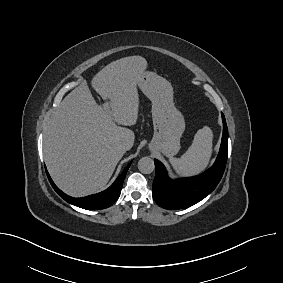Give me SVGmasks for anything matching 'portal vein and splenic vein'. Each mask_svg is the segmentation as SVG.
I'll list each match as a JSON object with an SVG mask.
<instances>
[{"label": "portal vein and splenic vein", "mask_w": 283, "mask_h": 283, "mask_svg": "<svg viewBox=\"0 0 283 283\" xmlns=\"http://www.w3.org/2000/svg\"><path fill=\"white\" fill-rule=\"evenodd\" d=\"M103 108L106 109V110H109V103L103 104Z\"/></svg>", "instance_id": "18ae733b"}]
</instances>
